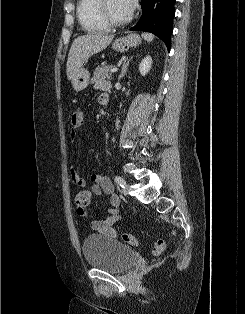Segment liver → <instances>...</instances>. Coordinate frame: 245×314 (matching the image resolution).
Wrapping results in <instances>:
<instances>
[{"label": "liver", "mask_w": 245, "mask_h": 314, "mask_svg": "<svg viewBox=\"0 0 245 314\" xmlns=\"http://www.w3.org/2000/svg\"><path fill=\"white\" fill-rule=\"evenodd\" d=\"M114 35L89 33L77 37L70 48L66 72L68 80H72L83 64L94 54L104 50L113 40Z\"/></svg>", "instance_id": "liver-1"}]
</instances>
